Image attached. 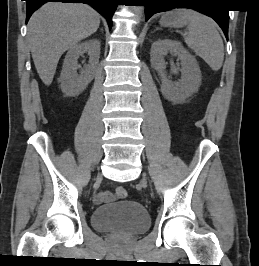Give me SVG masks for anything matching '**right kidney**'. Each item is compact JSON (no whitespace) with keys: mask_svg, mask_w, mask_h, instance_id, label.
Returning a JSON list of instances; mask_svg holds the SVG:
<instances>
[{"mask_svg":"<svg viewBox=\"0 0 259 266\" xmlns=\"http://www.w3.org/2000/svg\"><path fill=\"white\" fill-rule=\"evenodd\" d=\"M84 53L89 55V63L78 74L77 70L80 68L78 58ZM99 57L100 41L98 39H90L70 48L65 56L60 75V86L65 95L76 96L86 89L94 78Z\"/></svg>","mask_w":259,"mask_h":266,"instance_id":"ca27d5eb","label":"right kidney"}]
</instances>
